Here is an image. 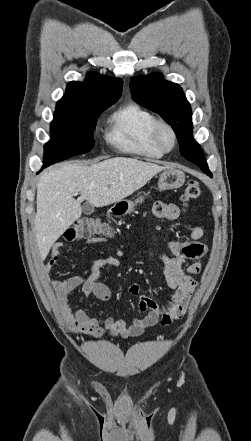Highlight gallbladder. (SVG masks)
Returning a JSON list of instances; mask_svg holds the SVG:
<instances>
[{"instance_id":"obj_1","label":"gallbladder","mask_w":251,"mask_h":441,"mask_svg":"<svg viewBox=\"0 0 251 441\" xmlns=\"http://www.w3.org/2000/svg\"><path fill=\"white\" fill-rule=\"evenodd\" d=\"M82 209H83L84 214H86V215H90L94 212V206L92 204H90L89 202H86L83 205Z\"/></svg>"}]
</instances>
